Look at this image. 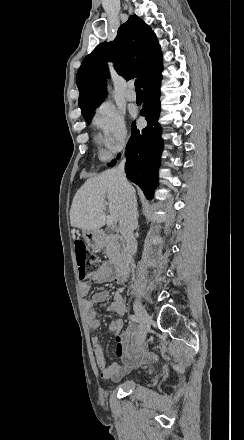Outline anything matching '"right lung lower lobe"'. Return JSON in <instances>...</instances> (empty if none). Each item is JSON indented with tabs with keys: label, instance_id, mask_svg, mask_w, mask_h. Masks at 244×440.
I'll list each match as a JSON object with an SVG mask.
<instances>
[{
	"label": "right lung lower lobe",
	"instance_id": "1",
	"mask_svg": "<svg viewBox=\"0 0 244 440\" xmlns=\"http://www.w3.org/2000/svg\"><path fill=\"white\" fill-rule=\"evenodd\" d=\"M162 66L154 70L143 81L144 103L141 115L146 117L147 127L142 131L132 123V135L126 147L127 178L139 185L147 199L153 197L157 185L158 166L163 141L160 137L161 128L158 123L160 113V81ZM120 154L118 155V159ZM113 160L109 166H114Z\"/></svg>",
	"mask_w": 244,
	"mask_h": 440
}]
</instances>
